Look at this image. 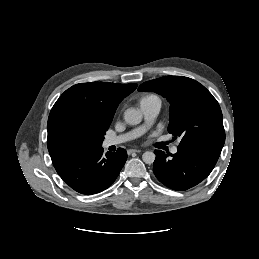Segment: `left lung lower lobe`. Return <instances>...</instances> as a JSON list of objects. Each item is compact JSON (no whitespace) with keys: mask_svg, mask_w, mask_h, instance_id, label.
<instances>
[{"mask_svg":"<svg viewBox=\"0 0 259 259\" xmlns=\"http://www.w3.org/2000/svg\"><path fill=\"white\" fill-rule=\"evenodd\" d=\"M222 147L195 144L178 147L176 154L155 150L153 172L165 186L182 191L203 181L213 170Z\"/></svg>","mask_w":259,"mask_h":259,"instance_id":"0a47b994","label":"left lung lower lobe"}]
</instances>
